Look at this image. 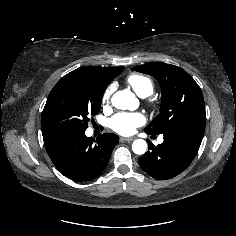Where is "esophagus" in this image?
I'll return each instance as SVG.
<instances>
[{
	"label": "esophagus",
	"mask_w": 236,
	"mask_h": 236,
	"mask_svg": "<svg viewBox=\"0 0 236 236\" xmlns=\"http://www.w3.org/2000/svg\"><path fill=\"white\" fill-rule=\"evenodd\" d=\"M120 139L122 141L131 142V141H133L135 139V137H128V138L121 137Z\"/></svg>",
	"instance_id": "obj_1"
}]
</instances>
